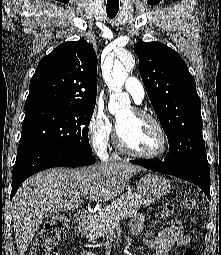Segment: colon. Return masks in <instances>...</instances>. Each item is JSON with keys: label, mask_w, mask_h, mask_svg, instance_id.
Masks as SVG:
<instances>
[{"label": "colon", "mask_w": 221, "mask_h": 255, "mask_svg": "<svg viewBox=\"0 0 221 255\" xmlns=\"http://www.w3.org/2000/svg\"><path fill=\"white\" fill-rule=\"evenodd\" d=\"M196 205L193 196H185L181 201V206L186 211H191ZM174 208L170 204L163 207V215L169 217L173 214ZM71 226L68 215H58L47 221L33 241L29 255H57V244L65 236ZM183 255H196L193 249H186Z\"/></svg>", "instance_id": "1"}]
</instances>
